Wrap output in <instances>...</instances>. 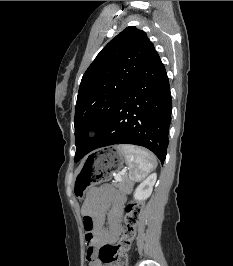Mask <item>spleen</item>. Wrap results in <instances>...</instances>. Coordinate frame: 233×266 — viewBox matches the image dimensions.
Wrapping results in <instances>:
<instances>
[{
    "label": "spleen",
    "instance_id": "1",
    "mask_svg": "<svg viewBox=\"0 0 233 266\" xmlns=\"http://www.w3.org/2000/svg\"><path fill=\"white\" fill-rule=\"evenodd\" d=\"M119 148L125 155L131 181H141L156 168L157 161L155 157L145 149L127 144L120 145Z\"/></svg>",
    "mask_w": 233,
    "mask_h": 266
}]
</instances>
